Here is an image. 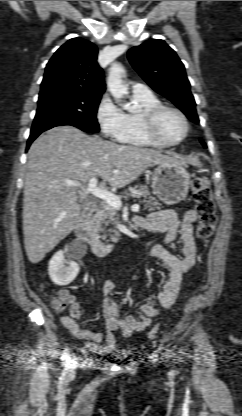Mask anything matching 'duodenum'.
Instances as JSON below:
<instances>
[{
  "label": "duodenum",
  "mask_w": 242,
  "mask_h": 416,
  "mask_svg": "<svg viewBox=\"0 0 242 416\" xmlns=\"http://www.w3.org/2000/svg\"><path fill=\"white\" fill-rule=\"evenodd\" d=\"M96 208L97 206L95 203H90L88 205L83 215L78 219L75 231L78 238L84 241L96 256L105 257L113 250L115 241H103L94 234L89 218L90 215L96 210ZM135 223L137 222H131L133 225Z\"/></svg>",
  "instance_id": "duodenum-1"
}]
</instances>
